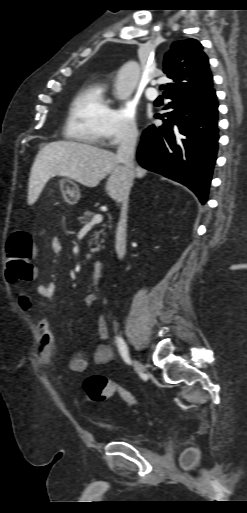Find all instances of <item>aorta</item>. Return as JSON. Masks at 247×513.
I'll use <instances>...</instances> for the list:
<instances>
[{
  "label": "aorta",
  "instance_id": "762f6f07",
  "mask_svg": "<svg viewBox=\"0 0 247 513\" xmlns=\"http://www.w3.org/2000/svg\"><path fill=\"white\" fill-rule=\"evenodd\" d=\"M140 75L139 64L135 61L125 63L118 71L115 84L116 97L125 100L133 93Z\"/></svg>",
  "mask_w": 247,
  "mask_h": 513
}]
</instances>
